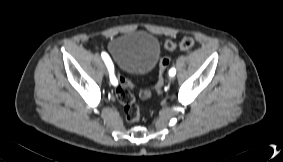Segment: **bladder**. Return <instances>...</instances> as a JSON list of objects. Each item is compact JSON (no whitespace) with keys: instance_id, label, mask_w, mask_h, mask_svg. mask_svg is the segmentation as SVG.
<instances>
[{"instance_id":"obj_1","label":"bladder","mask_w":283,"mask_h":162,"mask_svg":"<svg viewBox=\"0 0 283 162\" xmlns=\"http://www.w3.org/2000/svg\"><path fill=\"white\" fill-rule=\"evenodd\" d=\"M108 48L119 68L137 75L150 72L160 57L158 39L143 31L119 35L110 41Z\"/></svg>"}]
</instances>
